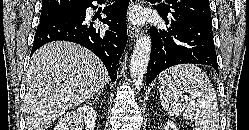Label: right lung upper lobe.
I'll return each instance as SVG.
<instances>
[{"mask_svg": "<svg viewBox=\"0 0 249 130\" xmlns=\"http://www.w3.org/2000/svg\"><path fill=\"white\" fill-rule=\"evenodd\" d=\"M91 0H43L42 11H61L87 5Z\"/></svg>", "mask_w": 249, "mask_h": 130, "instance_id": "cb5924a9", "label": "right lung upper lobe"}]
</instances>
